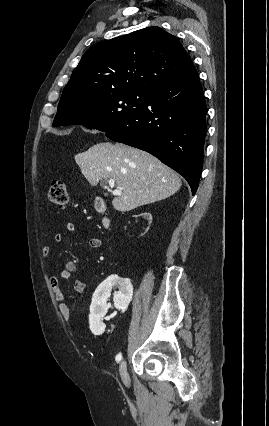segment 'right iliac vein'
Instances as JSON below:
<instances>
[{
  "instance_id": "1",
  "label": "right iliac vein",
  "mask_w": 269,
  "mask_h": 426,
  "mask_svg": "<svg viewBox=\"0 0 269 426\" xmlns=\"http://www.w3.org/2000/svg\"><path fill=\"white\" fill-rule=\"evenodd\" d=\"M119 371H120L122 382L124 383L125 386L129 387L130 386V377H129V374L127 372V365H126L125 360H123L120 363Z\"/></svg>"
}]
</instances>
